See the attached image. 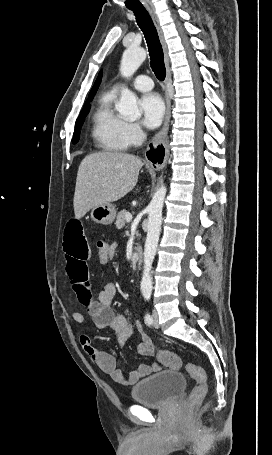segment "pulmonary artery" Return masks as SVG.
<instances>
[{
	"instance_id": "1",
	"label": "pulmonary artery",
	"mask_w": 272,
	"mask_h": 455,
	"mask_svg": "<svg viewBox=\"0 0 272 455\" xmlns=\"http://www.w3.org/2000/svg\"><path fill=\"white\" fill-rule=\"evenodd\" d=\"M132 85L139 91H149L153 88V82L150 77L146 75H139L132 81ZM120 88V83H116L112 87V91L117 92Z\"/></svg>"
}]
</instances>
